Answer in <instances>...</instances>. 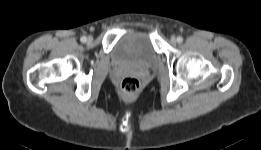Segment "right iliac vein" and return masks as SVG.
Returning a JSON list of instances; mask_svg holds the SVG:
<instances>
[{
	"mask_svg": "<svg viewBox=\"0 0 261 150\" xmlns=\"http://www.w3.org/2000/svg\"><path fill=\"white\" fill-rule=\"evenodd\" d=\"M93 38L91 36L88 37L87 41L90 43L92 42Z\"/></svg>",
	"mask_w": 261,
	"mask_h": 150,
	"instance_id": "63e3f726",
	"label": "right iliac vein"
}]
</instances>
